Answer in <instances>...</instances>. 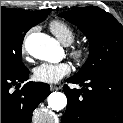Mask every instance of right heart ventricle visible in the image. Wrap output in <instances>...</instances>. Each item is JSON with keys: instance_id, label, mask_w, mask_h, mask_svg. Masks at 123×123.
<instances>
[{"instance_id": "right-heart-ventricle-1", "label": "right heart ventricle", "mask_w": 123, "mask_h": 123, "mask_svg": "<svg viewBox=\"0 0 123 123\" xmlns=\"http://www.w3.org/2000/svg\"><path fill=\"white\" fill-rule=\"evenodd\" d=\"M50 30L64 45H70L75 40L74 30L62 20H53L50 23Z\"/></svg>"}]
</instances>
